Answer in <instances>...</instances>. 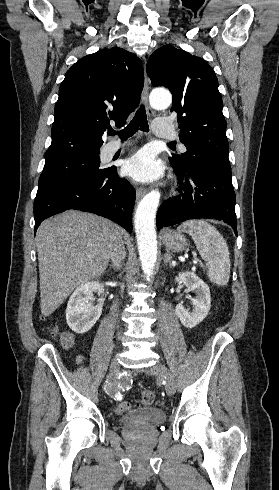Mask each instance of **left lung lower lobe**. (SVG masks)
I'll return each instance as SVG.
<instances>
[{"mask_svg":"<svg viewBox=\"0 0 279 490\" xmlns=\"http://www.w3.org/2000/svg\"><path fill=\"white\" fill-rule=\"evenodd\" d=\"M174 169L180 195L159 208L157 230L189 219L209 218L223 220L237 236L231 169L206 161L190 164L185 170Z\"/></svg>","mask_w":279,"mask_h":490,"instance_id":"0a47b994","label":"left lung lower lobe"}]
</instances>
